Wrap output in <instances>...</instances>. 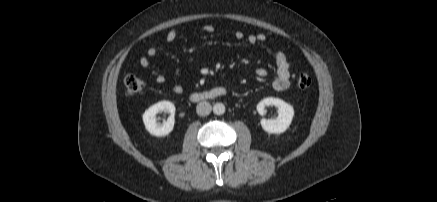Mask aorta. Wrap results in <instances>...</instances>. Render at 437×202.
I'll return each mask as SVG.
<instances>
[{
  "label": "aorta",
  "mask_w": 437,
  "mask_h": 202,
  "mask_svg": "<svg viewBox=\"0 0 437 202\" xmlns=\"http://www.w3.org/2000/svg\"><path fill=\"white\" fill-rule=\"evenodd\" d=\"M213 112H214V114H216V115H222V114H224V112H225V106H224V104H223V103H216V104L213 106Z\"/></svg>",
  "instance_id": "762f6f07"
}]
</instances>
